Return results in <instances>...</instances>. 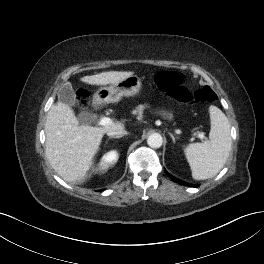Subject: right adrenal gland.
<instances>
[{
    "label": "right adrenal gland",
    "mask_w": 264,
    "mask_h": 264,
    "mask_svg": "<svg viewBox=\"0 0 264 264\" xmlns=\"http://www.w3.org/2000/svg\"><path fill=\"white\" fill-rule=\"evenodd\" d=\"M123 136H124V135L113 136V137H110L109 140H110V139H119V138H121V137H123Z\"/></svg>",
    "instance_id": "1"
}]
</instances>
